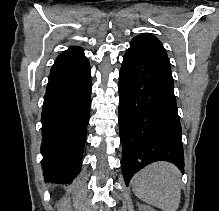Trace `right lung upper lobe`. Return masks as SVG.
<instances>
[{"instance_id":"obj_1","label":"right lung upper lobe","mask_w":219,"mask_h":211,"mask_svg":"<svg viewBox=\"0 0 219 211\" xmlns=\"http://www.w3.org/2000/svg\"><path fill=\"white\" fill-rule=\"evenodd\" d=\"M83 56L84 53L80 47H71L68 50L64 51L62 54H60L57 59L79 58Z\"/></svg>"}]
</instances>
